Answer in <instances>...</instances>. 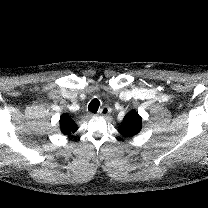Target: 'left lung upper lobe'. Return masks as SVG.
Listing matches in <instances>:
<instances>
[{"mask_svg": "<svg viewBox=\"0 0 208 208\" xmlns=\"http://www.w3.org/2000/svg\"><path fill=\"white\" fill-rule=\"evenodd\" d=\"M141 128L142 118L135 110H132L124 117L118 131L124 137H132L139 133Z\"/></svg>", "mask_w": 208, "mask_h": 208, "instance_id": "1", "label": "left lung upper lobe"}]
</instances>
